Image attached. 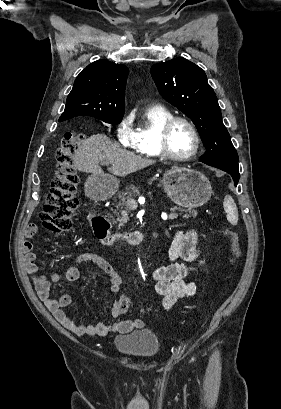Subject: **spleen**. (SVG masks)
Instances as JSON below:
<instances>
[{
  "mask_svg": "<svg viewBox=\"0 0 281 409\" xmlns=\"http://www.w3.org/2000/svg\"><path fill=\"white\" fill-rule=\"evenodd\" d=\"M223 207H224L225 213H227V221H229L231 225H237L238 209L236 207V202H234L230 194H226L224 198V202H223Z\"/></svg>",
  "mask_w": 281,
  "mask_h": 409,
  "instance_id": "obj_1",
  "label": "spleen"
}]
</instances>
